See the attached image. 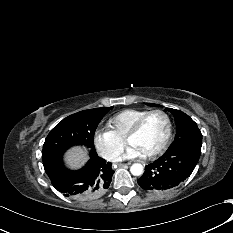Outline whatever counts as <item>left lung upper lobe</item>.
<instances>
[{
    "mask_svg": "<svg viewBox=\"0 0 233 233\" xmlns=\"http://www.w3.org/2000/svg\"><path fill=\"white\" fill-rule=\"evenodd\" d=\"M150 106H159L153 103H146ZM175 118L176 121V137L168 149L177 147L197 148L201 150L202 134L197 124L182 111L166 108Z\"/></svg>",
    "mask_w": 233,
    "mask_h": 233,
    "instance_id": "obj_1",
    "label": "left lung upper lobe"
}]
</instances>
